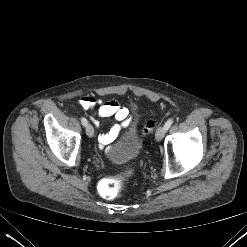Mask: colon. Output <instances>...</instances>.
Listing matches in <instances>:
<instances>
[{
	"mask_svg": "<svg viewBox=\"0 0 247 247\" xmlns=\"http://www.w3.org/2000/svg\"><path fill=\"white\" fill-rule=\"evenodd\" d=\"M156 126L153 120H148L144 126L143 134L147 135L151 133ZM130 172H122L118 175L110 176L101 181L99 189L101 194L108 199H113L117 197L125 188L126 179Z\"/></svg>",
	"mask_w": 247,
	"mask_h": 247,
	"instance_id": "obj_1",
	"label": "colon"
}]
</instances>
